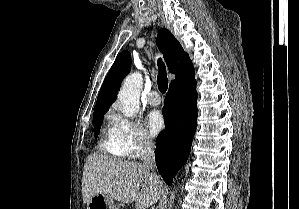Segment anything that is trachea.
Here are the masks:
<instances>
[{
	"label": "trachea",
	"mask_w": 299,
	"mask_h": 209,
	"mask_svg": "<svg viewBox=\"0 0 299 209\" xmlns=\"http://www.w3.org/2000/svg\"><path fill=\"white\" fill-rule=\"evenodd\" d=\"M158 69H159V74L157 78L158 88L160 92L165 93L168 88V79L166 74V67L160 59L158 60Z\"/></svg>",
	"instance_id": "obj_1"
}]
</instances>
